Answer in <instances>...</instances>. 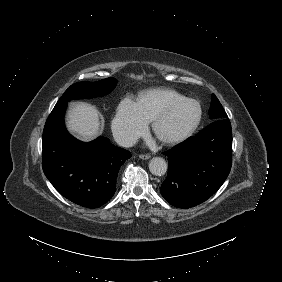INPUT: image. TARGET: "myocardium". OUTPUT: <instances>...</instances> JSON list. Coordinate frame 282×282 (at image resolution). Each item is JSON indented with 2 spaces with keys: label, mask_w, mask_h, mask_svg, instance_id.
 <instances>
[{
  "label": "myocardium",
  "mask_w": 282,
  "mask_h": 282,
  "mask_svg": "<svg viewBox=\"0 0 282 282\" xmlns=\"http://www.w3.org/2000/svg\"><path fill=\"white\" fill-rule=\"evenodd\" d=\"M188 102H194L192 99L187 98V97H181L180 99L171 102L168 104L154 119L153 122V130L157 136V138L162 141L163 143L166 144H176L180 143L183 140H185L193 131L194 129L198 126V124L201 121V108L200 106L195 103L198 107V113L197 115L185 126L183 127L179 132L173 135H165L161 131V126L163 122L166 120V118L177 108L181 107L185 103Z\"/></svg>",
  "instance_id": "f54148a6"
}]
</instances>
